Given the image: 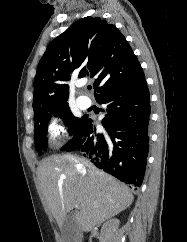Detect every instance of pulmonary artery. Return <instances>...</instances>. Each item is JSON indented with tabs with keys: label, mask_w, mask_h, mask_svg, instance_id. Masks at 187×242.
<instances>
[{
	"label": "pulmonary artery",
	"mask_w": 187,
	"mask_h": 242,
	"mask_svg": "<svg viewBox=\"0 0 187 242\" xmlns=\"http://www.w3.org/2000/svg\"><path fill=\"white\" fill-rule=\"evenodd\" d=\"M91 102L89 100V98H87L86 96H80L78 98V105L80 108L82 109H87L90 106Z\"/></svg>",
	"instance_id": "obj_1"
}]
</instances>
